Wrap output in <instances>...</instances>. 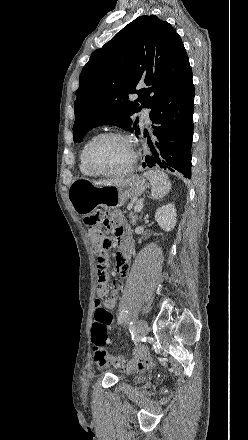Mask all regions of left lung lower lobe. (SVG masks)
<instances>
[{
  "label": "left lung lower lobe",
  "mask_w": 248,
  "mask_h": 440,
  "mask_svg": "<svg viewBox=\"0 0 248 440\" xmlns=\"http://www.w3.org/2000/svg\"><path fill=\"white\" fill-rule=\"evenodd\" d=\"M194 95L191 80L167 94L150 114L157 141L155 147L149 142L152 152L145 156L144 167L168 169L191 178Z\"/></svg>",
  "instance_id": "0a47b994"
}]
</instances>
